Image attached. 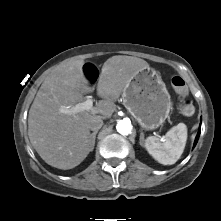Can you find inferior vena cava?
<instances>
[{
  "label": "inferior vena cava",
  "instance_id": "1",
  "mask_svg": "<svg viewBox=\"0 0 221 221\" xmlns=\"http://www.w3.org/2000/svg\"><path fill=\"white\" fill-rule=\"evenodd\" d=\"M103 125V121L101 119H95L93 121H91L88 125V128L95 132L98 131Z\"/></svg>",
  "mask_w": 221,
  "mask_h": 221
}]
</instances>
